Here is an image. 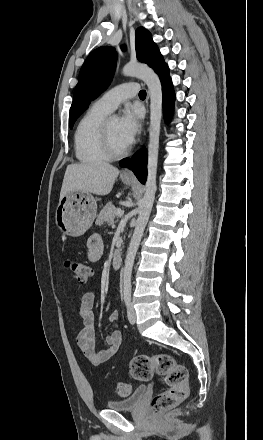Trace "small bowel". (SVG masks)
Instances as JSON below:
<instances>
[{
  "label": "small bowel",
  "instance_id": "small-bowel-1",
  "mask_svg": "<svg viewBox=\"0 0 263 440\" xmlns=\"http://www.w3.org/2000/svg\"><path fill=\"white\" fill-rule=\"evenodd\" d=\"M103 241L99 234L89 237L86 244V257L91 262L98 261L103 254ZM95 293L89 291L81 297L78 317L83 322V328L76 337V344L83 356L94 366L109 361L119 350L122 342L121 333L116 329L105 337L106 348L97 352L95 350V316L93 312ZM109 321L114 327L119 325V314L113 310Z\"/></svg>",
  "mask_w": 263,
  "mask_h": 440
}]
</instances>
